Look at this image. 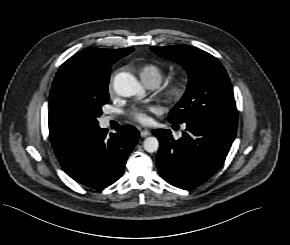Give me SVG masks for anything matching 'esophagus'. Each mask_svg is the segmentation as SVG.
Wrapping results in <instances>:
<instances>
[{"instance_id": "1", "label": "esophagus", "mask_w": 290, "mask_h": 245, "mask_svg": "<svg viewBox=\"0 0 290 245\" xmlns=\"http://www.w3.org/2000/svg\"><path fill=\"white\" fill-rule=\"evenodd\" d=\"M140 135H141V137L145 138V137L151 135V132L147 129H143L140 131Z\"/></svg>"}]
</instances>
